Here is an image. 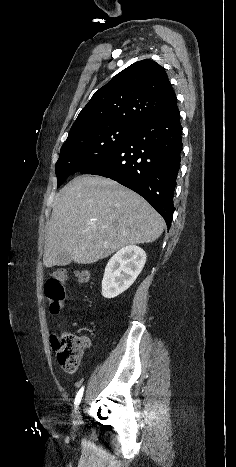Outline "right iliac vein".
Listing matches in <instances>:
<instances>
[{
    "label": "right iliac vein",
    "instance_id": "63e3f726",
    "mask_svg": "<svg viewBox=\"0 0 236 467\" xmlns=\"http://www.w3.org/2000/svg\"><path fill=\"white\" fill-rule=\"evenodd\" d=\"M79 411V409H78ZM82 421V418H81V415L79 414V412L75 415V424L76 425H79Z\"/></svg>",
    "mask_w": 236,
    "mask_h": 467
}]
</instances>
